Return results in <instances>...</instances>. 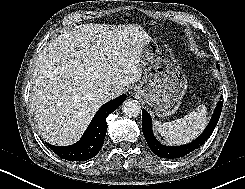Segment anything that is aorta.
Returning <instances> with one entry per match:
<instances>
[{
	"instance_id": "762f6f07",
	"label": "aorta",
	"mask_w": 245,
	"mask_h": 189,
	"mask_svg": "<svg viewBox=\"0 0 245 189\" xmlns=\"http://www.w3.org/2000/svg\"><path fill=\"white\" fill-rule=\"evenodd\" d=\"M122 110L128 117H137L141 108L136 100L128 99L124 102Z\"/></svg>"
}]
</instances>
